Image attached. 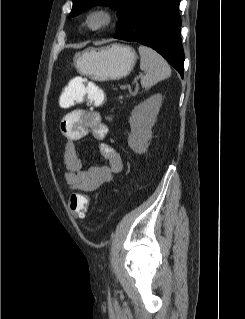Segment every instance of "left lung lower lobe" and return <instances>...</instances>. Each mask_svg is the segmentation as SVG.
Listing matches in <instances>:
<instances>
[{"label":"left lung lower lobe","instance_id":"0a47b994","mask_svg":"<svg viewBox=\"0 0 245 319\" xmlns=\"http://www.w3.org/2000/svg\"><path fill=\"white\" fill-rule=\"evenodd\" d=\"M180 0H139L116 39L138 42L160 53L183 76Z\"/></svg>","mask_w":245,"mask_h":319}]
</instances>
